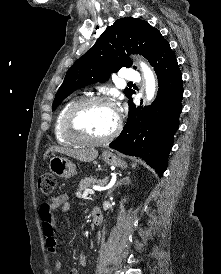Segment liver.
<instances>
[{"label":"liver","instance_id":"obj_1","mask_svg":"<svg viewBox=\"0 0 221 274\" xmlns=\"http://www.w3.org/2000/svg\"><path fill=\"white\" fill-rule=\"evenodd\" d=\"M50 152H58L61 154H65L67 156L73 157L82 162H91L94 159H96L98 156V151L95 150L94 148L71 149V148H64L59 146H52L46 151L44 157H46Z\"/></svg>","mask_w":221,"mask_h":274}]
</instances>
